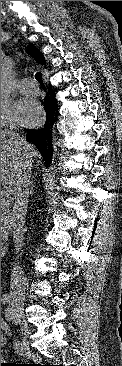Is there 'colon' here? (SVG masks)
Listing matches in <instances>:
<instances>
[{
    "label": "colon",
    "mask_w": 122,
    "mask_h": 366,
    "mask_svg": "<svg viewBox=\"0 0 122 366\" xmlns=\"http://www.w3.org/2000/svg\"><path fill=\"white\" fill-rule=\"evenodd\" d=\"M3 342V338L1 337V343Z\"/></svg>",
    "instance_id": "colon-1"
}]
</instances>
